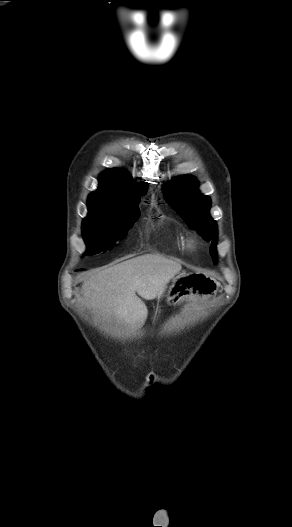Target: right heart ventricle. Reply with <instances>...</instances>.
<instances>
[{"instance_id": "right-heart-ventricle-1", "label": "right heart ventricle", "mask_w": 292, "mask_h": 527, "mask_svg": "<svg viewBox=\"0 0 292 527\" xmlns=\"http://www.w3.org/2000/svg\"><path fill=\"white\" fill-rule=\"evenodd\" d=\"M162 227L165 232V237L168 239L172 247L178 250L185 249L187 243H186L185 238L180 233L175 232L174 230L170 229L166 225H162Z\"/></svg>"}]
</instances>
